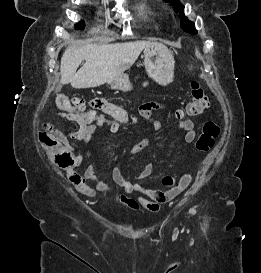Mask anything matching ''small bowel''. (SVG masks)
<instances>
[{
	"label": "small bowel",
	"mask_w": 261,
	"mask_h": 273,
	"mask_svg": "<svg viewBox=\"0 0 261 273\" xmlns=\"http://www.w3.org/2000/svg\"><path fill=\"white\" fill-rule=\"evenodd\" d=\"M91 106L99 110L105 114L110 115L114 122L110 126L111 132L118 131L120 126H125L129 123L130 118L128 113L122 109L121 107L107 102L103 99H94L91 101ZM163 105L159 103H147L141 106L140 111L141 114L143 112L147 113L148 116L144 117L147 119H151L153 123V127L155 131H158L161 128V124L158 120L152 117V112L154 110L162 109ZM61 109V108H60ZM64 110V109H62ZM177 118V126L185 131L184 140L187 143H192L195 140L196 133L194 129V123L189 119H182L179 117V111L174 112ZM59 116L65 117L71 121H74L79 125V129L76 131H71L67 133V137L73 139L75 141L82 142L85 145V152L87 151V145L94 138L97 134L98 127L94 124H89L84 119L74 116L72 113H58ZM48 129H51L48 126ZM144 149H149V140L144 139L137 144H135L130 150V155H135L141 152ZM85 152H76L74 154L75 162L73 166L67 168V175L70 182L73 184L75 189L90 198L96 196L97 192L101 193H111L112 188L105 183L104 181L100 180L96 176V167L93 164H89L83 175H80L75 171V168L82 165L85 159ZM112 177L114 182L122 187L127 194H134V198H129L126 195H119L117 196V201L121 204L133 209L138 210L139 208H143L150 212H157L160 209V204L168 202L172 200L179 192H172V191H162L158 189H152L143 186L137 181H141L147 178H150L154 174V166L152 163L148 162L145 164L144 168L141 170L139 174L135 176L136 181H131L127 179L119 167L115 166L112 168ZM188 180V185L191 181V173H185L182 175L181 180ZM86 180L93 181L95 183V188H92L86 183Z\"/></svg>",
	"instance_id": "obj_1"
}]
</instances>
